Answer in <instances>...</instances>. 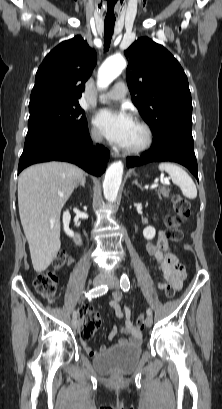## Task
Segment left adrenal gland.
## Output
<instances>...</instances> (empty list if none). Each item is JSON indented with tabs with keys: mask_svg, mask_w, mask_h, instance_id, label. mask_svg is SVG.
<instances>
[{
	"mask_svg": "<svg viewBox=\"0 0 222 409\" xmlns=\"http://www.w3.org/2000/svg\"><path fill=\"white\" fill-rule=\"evenodd\" d=\"M132 184H135V185H137L139 188H141V189H142L141 185H140V184H138V181H137V180L133 181V182H132Z\"/></svg>",
	"mask_w": 222,
	"mask_h": 409,
	"instance_id": "obj_1",
	"label": "left adrenal gland"
}]
</instances>
